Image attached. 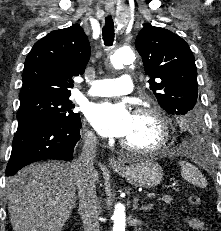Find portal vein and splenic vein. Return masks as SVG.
Wrapping results in <instances>:
<instances>
[{
	"instance_id": "obj_1",
	"label": "portal vein and splenic vein",
	"mask_w": 221,
	"mask_h": 231,
	"mask_svg": "<svg viewBox=\"0 0 221 231\" xmlns=\"http://www.w3.org/2000/svg\"><path fill=\"white\" fill-rule=\"evenodd\" d=\"M153 197H155V193H148L147 194V198H153Z\"/></svg>"
}]
</instances>
